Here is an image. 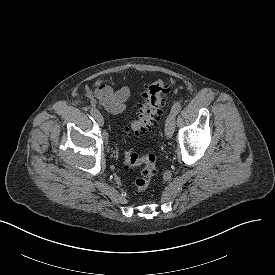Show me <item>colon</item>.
I'll return each instance as SVG.
<instances>
[{
    "label": "colon",
    "instance_id": "1",
    "mask_svg": "<svg viewBox=\"0 0 275 275\" xmlns=\"http://www.w3.org/2000/svg\"><path fill=\"white\" fill-rule=\"evenodd\" d=\"M169 86L162 80H156L144 90L143 101L133 117L131 130L137 135H144L152 130L160 118L165 105V97ZM124 165L126 170L133 171L141 166L140 174L134 185L138 192L147 190L156 175V157L153 154L138 156L131 150L124 151Z\"/></svg>",
    "mask_w": 275,
    "mask_h": 275
}]
</instances>
